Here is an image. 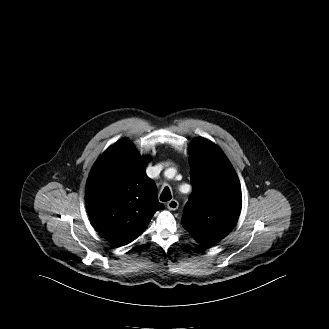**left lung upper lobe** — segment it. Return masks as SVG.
<instances>
[{"mask_svg":"<svg viewBox=\"0 0 329 329\" xmlns=\"http://www.w3.org/2000/svg\"><path fill=\"white\" fill-rule=\"evenodd\" d=\"M189 165L193 192L181 223L201 245L215 244L238 220L240 183L225 154L205 138L191 143Z\"/></svg>","mask_w":329,"mask_h":329,"instance_id":"left-lung-upper-lobe-1","label":"left lung upper lobe"}]
</instances>
